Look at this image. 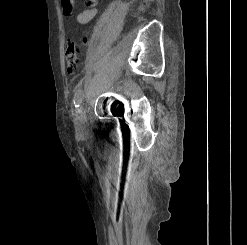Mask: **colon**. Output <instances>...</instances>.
<instances>
[{"label": "colon", "mask_w": 247, "mask_h": 245, "mask_svg": "<svg viewBox=\"0 0 247 245\" xmlns=\"http://www.w3.org/2000/svg\"><path fill=\"white\" fill-rule=\"evenodd\" d=\"M83 42L86 43L87 40L84 39ZM65 59L68 73L74 74L80 70L82 64V51L72 37L67 39Z\"/></svg>", "instance_id": "1"}]
</instances>
